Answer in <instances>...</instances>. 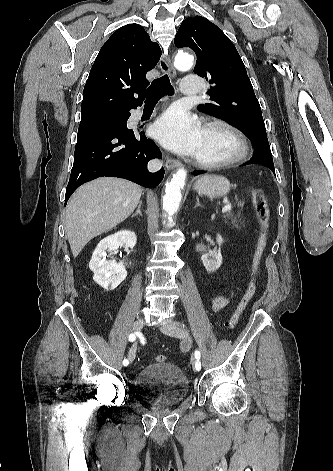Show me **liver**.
Here are the masks:
<instances>
[{"mask_svg": "<svg viewBox=\"0 0 333 471\" xmlns=\"http://www.w3.org/2000/svg\"><path fill=\"white\" fill-rule=\"evenodd\" d=\"M142 189L125 179L102 177L82 185L70 198L65 231L74 257L94 237L126 220L137 207Z\"/></svg>", "mask_w": 333, "mask_h": 471, "instance_id": "obj_1", "label": "liver"}]
</instances>
